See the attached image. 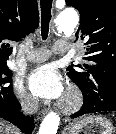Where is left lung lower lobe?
<instances>
[{
    "label": "left lung lower lobe",
    "mask_w": 116,
    "mask_h": 134,
    "mask_svg": "<svg viewBox=\"0 0 116 134\" xmlns=\"http://www.w3.org/2000/svg\"><path fill=\"white\" fill-rule=\"evenodd\" d=\"M104 111L116 112V95H104L90 100L84 99L80 111L72 114L71 117L76 118L84 114L104 112Z\"/></svg>",
    "instance_id": "0a47b994"
}]
</instances>
